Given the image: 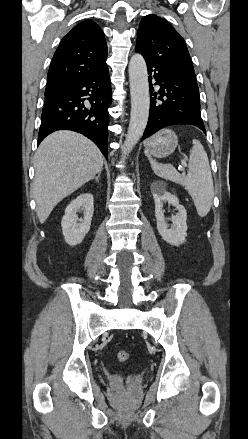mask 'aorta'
<instances>
[{"instance_id": "1", "label": "aorta", "mask_w": 248, "mask_h": 439, "mask_svg": "<svg viewBox=\"0 0 248 439\" xmlns=\"http://www.w3.org/2000/svg\"><path fill=\"white\" fill-rule=\"evenodd\" d=\"M131 114L124 153H129L142 137L150 108L149 83L146 62L141 54H134L129 62Z\"/></svg>"}]
</instances>
